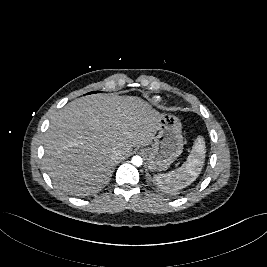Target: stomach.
<instances>
[{"mask_svg":"<svg viewBox=\"0 0 267 267\" xmlns=\"http://www.w3.org/2000/svg\"><path fill=\"white\" fill-rule=\"evenodd\" d=\"M157 136L151 148L143 151L150 171L164 170L183 151L182 126L170 113H158Z\"/></svg>","mask_w":267,"mask_h":267,"instance_id":"obj_1","label":"stomach"}]
</instances>
